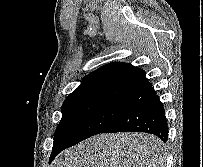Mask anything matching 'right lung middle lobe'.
Masks as SVG:
<instances>
[{"label": "right lung middle lobe", "instance_id": "obj_1", "mask_svg": "<svg viewBox=\"0 0 203 167\" xmlns=\"http://www.w3.org/2000/svg\"><path fill=\"white\" fill-rule=\"evenodd\" d=\"M130 106L107 100H77L62 105V119L54 135V143L66 147L76 145L99 134Z\"/></svg>", "mask_w": 203, "mask_h": 167}]
</instances>
